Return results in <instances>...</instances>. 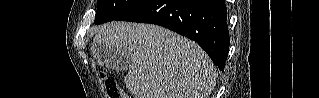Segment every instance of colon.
Instances as JSON below:
<instances>
[{
    "instance_id": "colon-1",
    "label": "colon",
    "mask_w": 319,
    "mask_h": 98,
    "mask_svg": "<svg viewBox=\"0 0 319 98\" xmlns=\"http://www.w3.org/2000/svg\"><path fill=\"white\" fill-rule=\"evenodd\" d=\"M107 98H128L120 85L113 79L103 77Z\"/></svg>"
}]
</instances>
